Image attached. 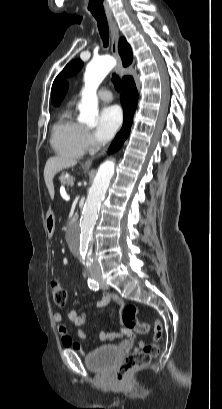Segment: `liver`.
<instances>
[{
  "mask_svg": "<svg viewBox=\"0 0 222 409\" xmlns=\"http://www.w3.org/2000/svg\"><path fill=\"white\" fill-rule=\"evenodd\" d=\"M76 164L77 160L65 156H54L47 160L44 168V180L51 199L54 198L55 194L53 185L54 176L63 169L73 167Z\"/></svg>",
  "mask_w": 222,
  "mask_h": 409,
  "instance_id": "obj_1",
  "label": "liver"
}]
</instances>
